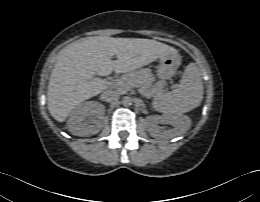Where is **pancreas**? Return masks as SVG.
Returning <instances> with one entry per match:
<instances>
[{
  "instance_id": "obj_1",
  "label": "pancreas",
  "mask_w": 260,
  "mask_h": 202,
  "mask_svg": "<svg viewBox=\"0 0 260 202\" xmlns=\"http://www.w3.org/2000/svg\"><path fill=\"white\" fill-rule=\"evenodd\" d=\"M155 77L150 69H140L129 72L122 77L113 80L109 86L119 93H126L134 87L139 88V92L146 98L157 97L163 93L164 82H157L154 84Z\"/></svg>"
}]
</instances>
